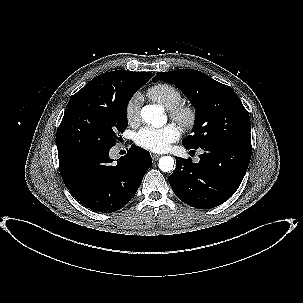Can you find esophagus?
Here are the masks:
<instances>
[{
  "instance_id": "1",
  "label": "esophagus",
  "mask_w": 303,
  "mask_h": 303,
  "mask_svg": "<svg viewBox=\"0 0 303 303\" xmlns=\"http://www.w3.org/2000/svg\"><path fill=\"white\" fill-rule=\"evenodd\" d=\"M160 156H161V155H159V154H152V159H153L154 161H156V160H158V159L160 158Z\"/></svg>"
}]
</instances>
